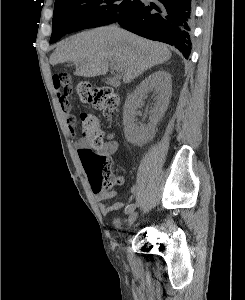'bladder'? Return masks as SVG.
Returning <instances> with one entry per match:
<instances>
[{
	"instance_id": "obj_1",
	"label": "bladder",
	"mask_w": 245,
	"mask_h": 300,
	"mask_svg": "<svg viewBox=\"0 0 245 300\" xmlns=\"http://www.w3.org/2000/svg\"><path fill=\"white\" fill-rule=\"evenodd\" d=\"M114 226L117 228V229H122L123 228V223L122 221L119 219V218H116L114 220Z\"/></svg>"
}]
</instances>
